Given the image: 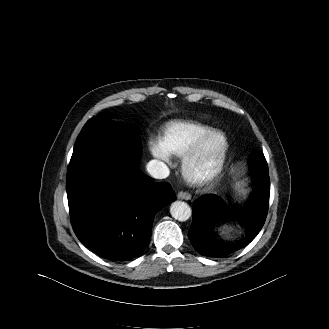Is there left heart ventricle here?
I'll list each match as a JSON object with an SVG mask.
<instances>
[{
    "instance_id": "1",
    "label": "left heart ventricle",
    "mask_w": 329,
    "mask_h": 329,
    "mask_svg": "<svg viewBox=\"0 0 329 329\" xmlns=\"http://www.w3.org/2000/svg\"><path fill=\"white\" fill-rule=\"evenodd\" d=\"M221 146L222 139L220 136L210 139L194 161L192 172L200 175L210 171L218 161Z\"/></svg>"
}]
</instances>
